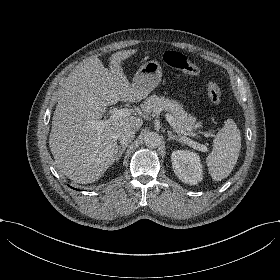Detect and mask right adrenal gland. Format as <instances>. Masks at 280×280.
<instances>
[{
  "mask_svg": "<svg viewBox=\"0 0 280 280\" xmlns=\"http://www.w3.org/2000/svg\"><path fill=\"white\" fill-rule=\"evenodd\" d=\"M118 153L115 157V161H119L120 157L122 156V154L124 153V151L126 150V145H122V146H118Z\"/></svg>",
  "mask_w": 280,
  "mask_h": 280,
  "instance_id": "1",
  "label": "right adrenal gland"
}]
</instances>
